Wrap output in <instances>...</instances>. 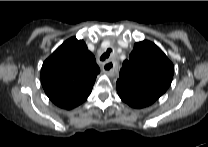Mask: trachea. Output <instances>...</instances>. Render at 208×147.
<instances>
[{
  "label": "trachea",
  "instance_id": "obj_1",
  "mask_svg": "<svg viewBox=\"0 0 208 147\" xmlns=\"http://www.w3.org/2000/svg\"><path fill=\"white\" fill-rule=\"evenodd\" d=\"M110 52H111V49H110V48L107 49V52H105V53L100 57V60H101V61H105L106 59H108L109 56H110Z\"/></svg>",
  "mask_w": 208,
  "mask_h": 147
}]
</instances>
